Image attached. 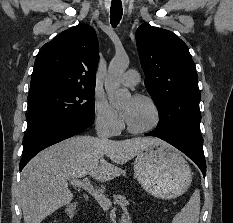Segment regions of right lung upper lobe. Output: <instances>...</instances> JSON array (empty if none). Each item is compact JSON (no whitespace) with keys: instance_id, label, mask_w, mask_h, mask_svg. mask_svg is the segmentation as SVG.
<instances>
[{"instance_id":"1","label":"right lung upper lobe","mask_w":233,"mask_h":223,"mask_svg":"<svg viewBox=\"0 0 233 223\" xmlns=\"http://www.w3.org/2000/svg\"><path fill=\"white\" fill-rule=\"evenodd\" d=\"M99 45L94 29L74 26L38 52L29 94L52 88H95Z\"/></svg>"}]
</instances>
